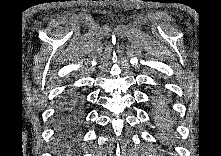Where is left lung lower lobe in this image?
<instances>
[{
	"mask_svg": "<svg viewBox=\"0 0 221 156\" xmlns=\"http://www.w3.org/2000/svg\"><path fill=\"white\" fill-rule=\"evenodd\" d=\"M154 103V119L157 126L167 130L173 126L171 111L169 110V100L164 93L158 92Z\"/></svg>",
	"mask_w": 221,
	"mask_h": 156,
	"instance_id": "obj_1",
	"label": "left lung lower lobe"
}]
</instances>
